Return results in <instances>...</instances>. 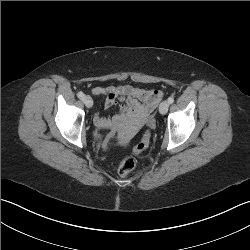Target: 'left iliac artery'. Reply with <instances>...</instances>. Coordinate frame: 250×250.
I'll list each match as a JSON object with an SVG mask.
<instances>
[{
  "label": "left iliac artery",
  "instance_id": "1",
  "mask_svg": "<svg viewBox=\"0 0 250 250\" xmlns=\"http://www.w3.org/2000/svg\"><path fill=\"white\" fill-rule=\"evenodd\" d=\"M173 102H174V98H173V97H169V98H168V103H169V104H172Z\"/></svg>",
  "mask_w": 250,
  "mask_h": 250
}]
</instances>
